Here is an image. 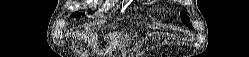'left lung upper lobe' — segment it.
I'll return each mask as SVG.
<instances>
[{
    "instance_id": "5c2ea615",
    "label": "left lung upper lobe",
    "mask_w": 249,
    "mask_h": 57,
    "mask_svg": "<svg viewBox=\"0 0 249 57\" xmlns=\"http://www.w3.org/2000/svg\"><path fill=\"white\" fill-rule=\"evenodd\" d=\"M181 20L183 21V23H184L185 25H187L188 27L192 28V25H191L190 22H189V17L186 15L185 12H182V13H181Z\"/></svg>"
}]
</instances>
